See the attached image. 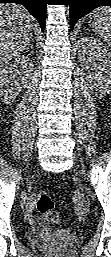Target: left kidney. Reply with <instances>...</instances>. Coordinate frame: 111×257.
Returning a JSON list of instances; mask_svg holds the SVG:
<instances>
[{
  "mask_svg": "<svg viewBox=\"0 0 111 257\" xmlns=\"http://www.w3.org/2000/svg\"><path fill=\"white\" fill-rule=\"evenodd\" d=\"M79 60L92 89L100 94L111 92V51L94 37L79 41Z\"/></svg>",
  "mask_w": 111,
  "mask_h": 257,
  "instance_id": "1",
  "label": "left kidney"
}]
</instances>
